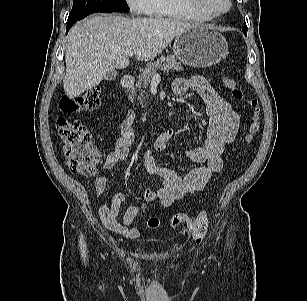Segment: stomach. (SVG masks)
<instances>
[{"label": "stomach", "mask_w": 307, "mask_h": 301, "mask_svg": "<svg viewBox=\"0 0 307 301\" xmlns=\"http://www.w3.org/2000/svg\"><path fill=\"white\" fill-rule=\"evenodd\" d=\"M176 58L190 67L203 68L219 63L228 53L225 38L207 25L193 26L176 36Z\"/></svg>", "instance_id": "1"}]
</instances>
